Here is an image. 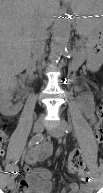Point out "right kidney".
Listing matches in <instances>:
<instances>
[{
    "label": "right kidney",
    "mask_w": 103,
    "mask_h": 193,
    "mask_svg": "<svg viewBox=\"0 0 103 193\" xmlns=\"http://www.w3.org/2000/svg\"><path fill=\"white\" fill-rule=\"evenodd\" d=\"M17 86L16 78L2 77L0 83V112L5 116H15L22 108V104L13 105V91Z\"/></svg>",
    "instance_id": "right-kidney-1"
}]
</instances>
